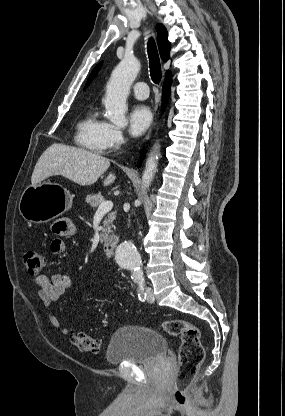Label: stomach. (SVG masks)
Here are the masks:
<instances>
[{
    "label": "stomach",
    "mask_w": 285,
    "mask_h": 416,
    "mask_svg": "<svg viewBox=\"0 0 285 416\" xmlns=\"http://www.w3.org/2000/svg\"><path fill=\"white\" fill-rule=\"evenodd\" d=\"M72 200L71 194L60 184L43 182L37 186H28L24 190L19 202V212L27 222L46 224L68 212Z\"/></svg>",
    "instance_id": "obj_1"
}]
</instances>
